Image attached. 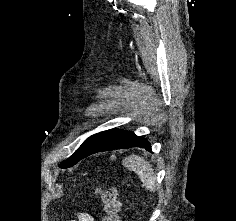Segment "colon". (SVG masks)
Listing matches in <instances>:
<instances>
[{"mask_svg":"<svg viewBox=\"0 0 236 221\" xmlns=\"http://www.w3.org/2000/svg\"><path fill=\"white\" fill-rule=\"evenodd\" d=\"M98 195L103 208L102 221H120L117 190L113 187L102 188L98 190Z\"/></svg>","mask_w":236,"mask_h":221,"instance_id":"5ec220e1","label":"colon"}]
</instances>
